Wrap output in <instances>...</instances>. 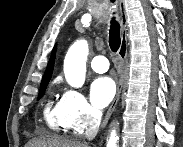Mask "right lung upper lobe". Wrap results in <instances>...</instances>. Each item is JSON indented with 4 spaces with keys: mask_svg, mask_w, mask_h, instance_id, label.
I'll list each match as a JSON object with an SVG mask.
<instances>
[{
    "mask_svg": "<svg viewBox=\"0 0 183 147\" xmlns=\"http://www.w3.org/2000/svg\"><path fill=\"white\" fill-rule=\"evenodd\" d=\"M55 50H56V48H54V50L52 52L51 58L49 60V63L47 65L45 74H44L42 82H41V87L45 86V85H48V83L51 79L52 72H53V67H54V60H55Z\"/></svg>",
    "mask_w": 183,
    "mask_h": 147,
    "instance_id": "1",
    "label": "right lung upper lobe"
}]
</instances>
